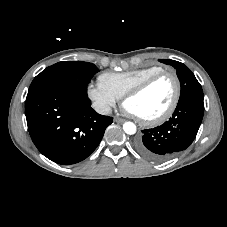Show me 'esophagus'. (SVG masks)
Returning a JSON list of instances; mask_svg holds the SVG:
<instances>
[{
	"label": "esophagus",
	"instance_id": "obj_1",
	"mask_svg": "<svg viewBox=\"0 0 227 227\" xmlns=\"http://www.w3.org/2000/svg\"><path fill=\"white\" fill-rule=\"evenodd\" d=\"M114 121L117 122V123H123V122H125L124 119L119 118V117H115V118H114Z\"/></svg>",
	"mask_w": 227,
	"mask_h": 227
}]
</instances>
